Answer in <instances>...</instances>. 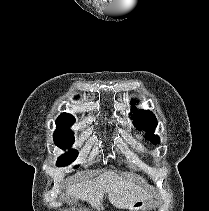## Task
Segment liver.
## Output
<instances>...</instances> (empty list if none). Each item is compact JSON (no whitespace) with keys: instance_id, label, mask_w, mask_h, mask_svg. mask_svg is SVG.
<instances>
[{"instance_id":"liver-1","label":"liver","mask_w":209,"mask_h":211,"mask_svg":"<svg viewBox=\"0 0 209 211\" xmlns=\"http://www.w3.org/2000/svg\"><path fill=\"white\" fill-rule=\"evenodd\" d=\"M104 193L108 194L111 204L120 209L150 198L143 188L113 171H107L94 179L70 185L66 189L68 197L73 196L75 200L87 201L95 208L101 205Z\"/></svg>"}]
</instances>
